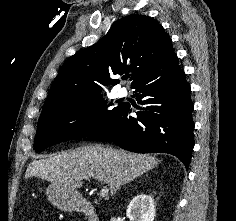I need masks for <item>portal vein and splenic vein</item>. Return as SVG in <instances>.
<instances>
[{
  "label": "portal vein and splenic vein",
  "instance_id": "1",
  "mask_svg": "<svg viewBox=\"0 0 236 221\" xmlns=\"http://www.w3.org/2000/svg\"><path fill=\"white\" fill-rule=\"evenodd\" d=\"M83 179L89 180L86 177H84ZM108 193H109V189L107 187H104L100 191V197L105 198L106 196H108Z\"/></svg>",
  "mask_w": 236,
  "mask_h": 221
}]
</instances>
